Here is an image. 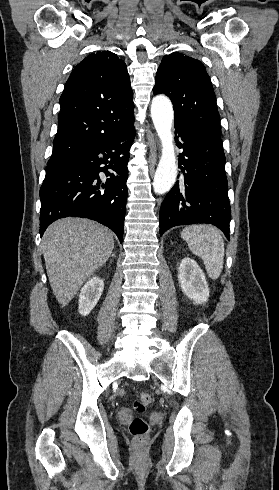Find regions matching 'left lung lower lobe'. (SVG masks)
Masks as SVG:
<instances>
[{"label": "left lung lower lobe", "instance_id": "0a47b994", "mask_svg": "<svg viewBox=\"0 0 279 490\" xmlns=\"http://www.w3.org/2000/svg\"><path fill=\"white\" fill-rule=\"evenodd\" d=\"M175 128L177 146L183 149V179L161 205L160 235L174 226L203 223L218 227L229 240L231 207L221 137L180 122Z\"/></svg>", "mask_w": 279, "mask_h": 490}]
</instances>
